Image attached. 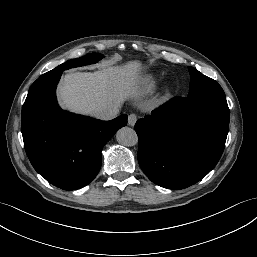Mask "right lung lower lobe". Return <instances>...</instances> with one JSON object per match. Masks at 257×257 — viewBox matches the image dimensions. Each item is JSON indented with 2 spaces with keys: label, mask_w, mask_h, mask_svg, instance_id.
I'll use <instances>...</instances> for the list:
<instances>
[{
  "label": "right lung lower lobe",
  "mask_w": 257,
  "mask_h": 257,
  "mask_svg": "<svg viewBox=\"0 0 257 257\" xmlns=\"http://www.w3.org/2000/svg\"><path fill=\"white\" fill-rule=\"evenodd\" d=\"M61 74L45 73L32 84L22 107L21 131L34 169L54 186L75 190L95 178L104 144L126 126L127 115L101 121L63 111L55 94Z\"/></svg>",
  "instance_id": "right-lung-lower-lobe-1"
}]
</instances>
